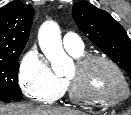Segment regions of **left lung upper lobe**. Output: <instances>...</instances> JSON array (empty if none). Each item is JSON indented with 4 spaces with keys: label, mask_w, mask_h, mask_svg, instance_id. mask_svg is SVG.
<instances>
[{
    "label": "left lung upper lobe",
    "mask_w": 131,
    "mask_h": 115,
    "mask_svg": "<svg viewBox=\"0 0 131 115\" xmlns=\"http://www.w3.org/2000/svg\"><path fill=\"white\" fill-rule=\"evenodd\" d=\"M72 13L79 29L131 79V42L124 28L108 12L88 1L76 3Z\"/></svg>",
    "instance_id": "left-lung-upper-lobe-1"
}]
</instances>
